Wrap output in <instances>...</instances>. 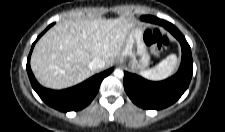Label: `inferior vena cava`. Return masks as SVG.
<instances>
[{"instance_id":"inferior-vena-cava-1","label":"inferior vena cava","mask_w":225,"mask_h":132,"mask_svg":"<svg viewBox=\"0 0 225 132\" xmlns=\"http://www.w3.org/2000/svg\"><path fill=\"white\" fill-rule=\"evenodd\" d=\"M105 66L104 60L101 58H94L90 63H89V68L95 72H99L102 70Z\"/></svg>"}]
</instances>
